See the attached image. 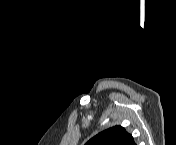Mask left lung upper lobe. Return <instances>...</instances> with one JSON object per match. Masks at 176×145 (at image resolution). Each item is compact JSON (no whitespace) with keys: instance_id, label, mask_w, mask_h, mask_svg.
Wrapping results in <instances>:
<instances>
[{"instance_id":"left-lung-upper-lobe-1","label":"left lung upper lobe","mask_w":176,"mask_h":145,"mask_svg":"<svg viewBox=\"0 0 176 145\" xmlns=\"http://www.w3.org/2000/svg\"><path fill=\"white\" fill-rule=\"evenodd\" d=\"M86 145H135L133 137L121 126L102 131L91 138Z\"/></svg>"}]
</instances>
